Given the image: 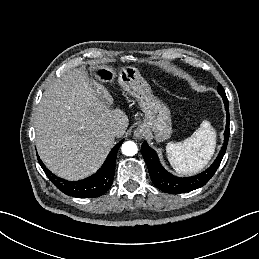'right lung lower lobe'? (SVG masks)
<instances>
[{
    "instance_id": "obj_1",
    "label": "right lung lower lobe",
    "mask_w": 259,
    "mask_h": 259,
    "mask_svg": "<svg viewBox=\"0 0 259 259\" xmlns=\"http://www.w3.org/2000/svg\"><path fill=\"white\" fill-rule=\"evenodd\" d=\"M123 140L110 151L102 167L92 176L79 180H63L49 171L38 156V162L51 182L63 193L77 198H93L103 195L111 187L115 172L116 155Z\"/></svg>"
}]
</instances>
